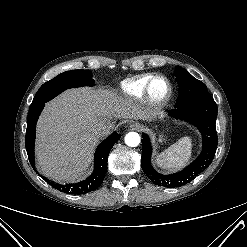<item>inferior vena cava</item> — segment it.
Masks as SVG:
<instances>
[{"label": "inferior vena cava", "mask_w": 247, "mask_h": 247, "mask_svg": "<svg viewBox=\"0 0 247 247\" xmlns=\"http://www.w3.org/2000/svg\"><path fill=\"white\" fill-rule=\"evenodd\" d=\"M110 127L104 123V122H99L95 125L93 131L95 134L98 136H104L109 133Z\"/></svg>", "instance_id": "inferior-vena-cava-1"}]
</instances>
